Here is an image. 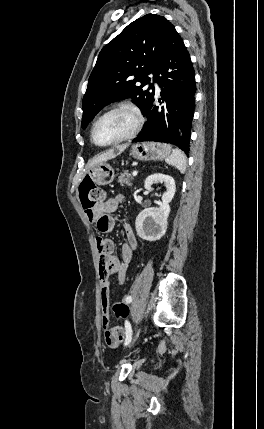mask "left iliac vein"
<instances>
[{"label": "left iliac vein", "instance_id": "1", "mask_svg": "<svg viewBox=\"0 0 264 429\" xmlns=\"http://www.w3.org/2000/svg\"><path fill=\"white\" fill-rule=\"evenodd\" d=\"M144 327L141 325L140 327H137L136 328V333H135V335H134V338L133 339H131V342L128 344L129 346H131L134 342H137L138 341V338H139V336L140 335H142V329H143Z\"/></svg>", "mask_w": 264, "mask_h": 429}]
</instances>
